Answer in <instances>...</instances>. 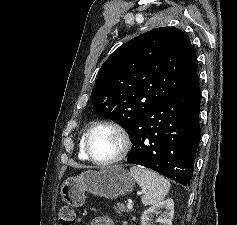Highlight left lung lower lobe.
<instances>
[{"mask_svg": "<svg viewBox=\"0 0 237 225\" xmlns=\"http://www.w3.org/2000/svg\"><path fill=\"white\" fill-rule=\"evenodd\" d=\"M200 101L196 84L156 104L128 132L133 146L127 162L188 186L201 139Z\"/></svg>", "mask_w": 237, "mask_h": 225, "instance_id": "obj_1", "label": "left lung lower lobe"}]
</instances>
